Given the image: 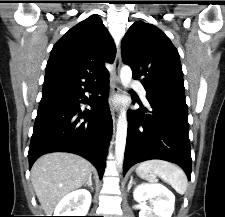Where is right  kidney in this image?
<instances>
[{
    "mask_svg": "<svg viewBox=\"0 0 225 217\" xmlns=\"http://www.w3.org/2000/svg\"><path fill=\"white\" fill-rule=\"evenodd\" d=\"M90 205V192L85 189H79L67 194L59 202L54 216H86Z\"/></svg>",
    "mask_w": 225,
    "mask_h": 217,
    "instance_id": "right-kidney-1",
    "label": "right kidney"
}]
</instances>
